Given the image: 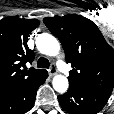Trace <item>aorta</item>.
I'll return each mask as SVG.
<instances>
[{"mask_svg": "<svg viewBox=\"0 0 114 114\" xmlns=\"http://www.w3.org/2000/svg\"><path fill=\"white\" fill-rule=\"evenodd\" d=\"M36 46L40 53L48 56H56L60 50L58 40L47 33L38 35L36 38ZM52 85L57 92L64 93L67 91L69 83L65 76L56 75L52 80Z\"/></svg>", "mask_w": 114, "mask_h": 114, "instance_id": "aorta-1", "label": "aorta"}]
</instances>
